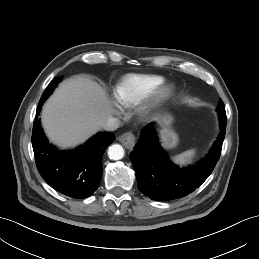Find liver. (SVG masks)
<instances>
[{
    "label": "liver",
    "instance_id": "obj_1",
    "mask_svg": "<svg viewBox=\"0 0 259 259\" xmlns=\"http://www.w3.org/2000/svg\"><path fill=\"white\" fill-rule=\"evenodd\" d=\"M105 90L85 76L63 81L42 110V124L49 139L71 148L99 131L113 114Z\"/></svg>",
    "mask_w": 259,
    "mask_h": 259
}]
</instances>
